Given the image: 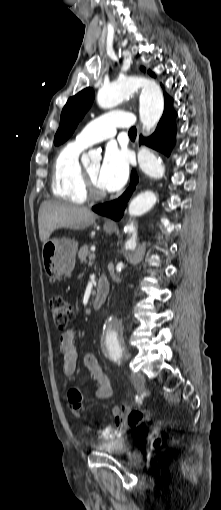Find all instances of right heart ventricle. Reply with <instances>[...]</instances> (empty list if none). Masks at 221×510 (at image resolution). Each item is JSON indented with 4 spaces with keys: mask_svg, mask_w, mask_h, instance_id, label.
Returning <instances> with one entry per match:
<instances>
[{
    "mask_svg": "<svg viewBox=\"0 0 221 510\" xmlns=\"http://www.w3.org/2000/svg\"><path fill=\"white\" fill-rule=\"evenodd\" d=\"M84 149L85 147L76 141L70 142L60 150L53 164V195L74 204H83L87 200L80 163V155Z\"/></svg>",
    "mask_w": 221,
    "mask_h": 510,
    "instance_id": "obj_1",
    "label": "right heart ventricle"
}]
</instances>
